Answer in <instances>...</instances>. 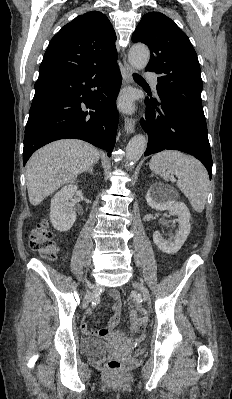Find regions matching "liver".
<instances>
[{
  "label": "liver",
  "mask_w": 232,
  "mask_h": 399,
  "mask_svg": "<svg viewBox=\"0 0 232 399\" xmlns=\"http://www.w3.org/2000/svg\"><path fill=\"white\" fill-rule=\"evenodd\" d=\"M100 160L94 146L81 140H59L37 150L26 164V186L32 205H38L63 184Z\"/></svg>",
  "instance_id": "obj_1"
}]
</instances>
